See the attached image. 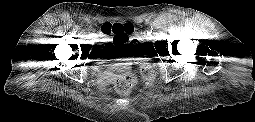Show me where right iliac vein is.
Here are the masks:
<instances>
[{"mask_svg": "<svg viewBox=\"0 0 255 122\" xmlns=\"http://www.w3.org/2000/svg\"><path fill=\"white\" fill-rule=\"evenodd\" d=\"M92 36H93L94 38H97V37H98V35L95 34V33H93Z\"/></svg>", "mask_w": 255, "mask_h": 122, "instance_id": "63e3f726", "label": "right iliac vein"}]
</instances>
